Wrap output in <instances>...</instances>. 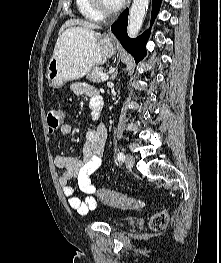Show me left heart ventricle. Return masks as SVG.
Segmentation results:
<instances>
[{
  "label": "left heart ventricle",
  "mask_w": 221,
  "mask_h": 263,
  "mask_svg": "<svg viewBox=\"0 0 221 263\" xmlns=\"http://www.w3.org/2000/svg\"><path fill=\"white\" fill-rule=\"evenodd\" d=\"M102 3L106 8L112 9L119 6L121 2L120 0H102Z\"/></svg>",
  "instance_id": "b2bd125f"
}]
</instances>
